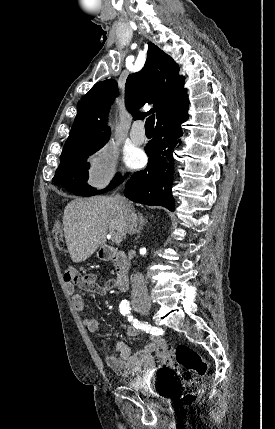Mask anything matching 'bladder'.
Listing matches in <instances>:
<instances>
[{"label":"bladder","instance_id":"obj_1","mask_svg":"<svg viewBox=\"0 0 275 429\" xmlns=\"http://www.w3.org/2000/svg\"><path fill=\"white\" fill-rule=\"evenodd\" d=\"M129 386L139 398H153L154 403H173L179 398L176 377H145L131 381Z\"/></svg>","mask_w":275,"mask_h":429}]
</instances>
